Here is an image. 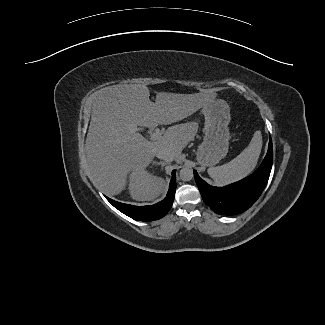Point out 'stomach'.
I'll return each instance as SVG.
<instances>
[{
	"label": "stomach",
	"mask_w": 325,
	"mask_h": 325,
	"mask_svg": "<svg viewBox=\"0 0 325 325\" xmlns=\"http://www.w3.org/2000/svg\"><path fill=\"white\" fill-rule=\"evenodd\" d=\"M202 112L205 116V136L198 147L197 161L202 166H214L228 152L230 107L226 101L215 99L206 104Z\"/></svg>",
	"instance_id": "obj_1"
}]
</instances>
